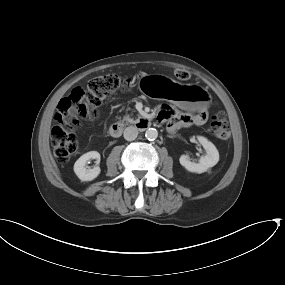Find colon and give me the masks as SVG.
Instances as JSON below:
<instances>
[{"instance_id": "5ec220e1", "label": "colon", "mask_w": 285, "mask_h": 285, "mask_svg": "<svg viewBox=\"0 0 285 285\" xmlns=\"http://www.w3.org/2000/svg\"><path fill=\"white\" fill-rule=\"evenodd\" d=\"M175 77L180 81H186L190 78V73L184 69H176ZM132 85L133 80L130 77L104 74L90 80L85 87H74L67 96L63 97L58 103L51 129L56 160L65 162L77 152L76 128L81 120L94 117L103 100L118 90L128 89ZM210 132L218 140L228 139L229 123L223 111H217L212 117Z\"/></svg>"}]
</instances>
